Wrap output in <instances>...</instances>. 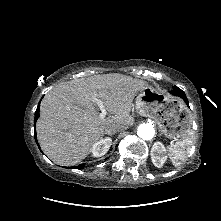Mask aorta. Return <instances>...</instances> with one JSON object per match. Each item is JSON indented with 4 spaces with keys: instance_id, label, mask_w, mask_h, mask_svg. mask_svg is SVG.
<instances>
[{
    "instance_id": "1",
    "label": "aorta",
    "mask_w": 221,
    "mask_h": 221,
    "mask_svg": "<svg viewBox=\"0 0 221 221\" xmlns=\"http://www.w3.org/2000/svg\"><path fill=\"white\" fill-rule=\"evenodd\" d=\"M138 136L143 140H151L155 135V129L152 124L145 123L138 127Z\"/></svg>"
}]
</instances>
